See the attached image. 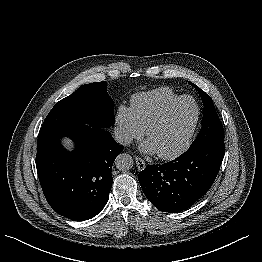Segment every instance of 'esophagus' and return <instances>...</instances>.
Segmentation results:
<instances>
[{
	"mask_svg": "<svg viewBox=\"0 0 262 262\" xmlns=\"http://www.w3.org/2000/svg\"><path fill=\"white\" fill-rule=\"evenodd\" d=\"M135 161H136V165H137L139 170L145 169L146 163L142 158L135 156Z\"/></svg>",
	"mask_w": 262,
	"mask_h": 262,
	"instance_id": "34e87169",
	"label": "esophagus"
}]
</instances>
